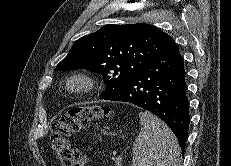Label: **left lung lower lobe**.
Instances as JSON below:
<instances>
[{"label":"left lung lower lobe","instance_id":"0a47b994","mask_svg":"<svg viewBox=\"0 0 231 166\" xmlns=\"http://www.w3.org/2000/svg\"><path fill=\"white\" fill-rule=\"evenodd\" d=\"M104 99L129 102L157 115L172 129L184 152L189 103L184 63L173 40L148 65Z\"/></svg>","mask_w":231,"mask_h":166}]
</instances>
